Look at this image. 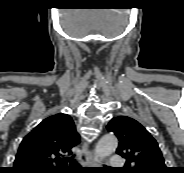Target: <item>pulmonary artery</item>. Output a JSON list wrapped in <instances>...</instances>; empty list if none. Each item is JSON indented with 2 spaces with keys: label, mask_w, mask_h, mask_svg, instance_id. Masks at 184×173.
Returning a JSON list of instances; mask_svg holds the SVG:
<instances>
[{
  "label": "pulmonary artery",
  "mask_w": 184,
  "mask_h": 173,
  "mask_svg": "<svg viewBox=\"0 0 184 173\" xmlns=\"http://www.w3.org/2000/svg\"><path fill=\"white\" fill-rule=\"evenodd\" d=\"M109 165L115 168H121L124 165V160L119 155H113L110 157Z\"/></svg>",
  "instance_id": "e3ab8cb5"
}]
</instances>
